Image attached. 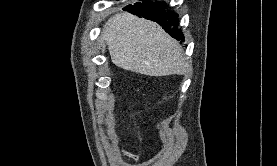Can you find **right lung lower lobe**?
<instances>
[{"instance_id":"obj_1","label":"right lung lower lobe","mask_w":277,"mask_h":166,"mask_svg":"<svg viewBox=\"0 0 277 166\" xmlns=\"http://www.w3.org/2000/svg\"><path fill=\"white\" fill-rule=\"evenodd\" d=\"M134 5H128L125 10L146 19L156 21L162 28L177 40H184L183 34L178 29L177 15L165 10V3L152 2L150 0H140Z\"/></svg>"}]
</instances>
